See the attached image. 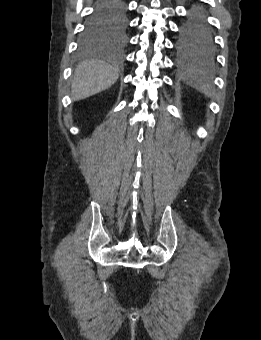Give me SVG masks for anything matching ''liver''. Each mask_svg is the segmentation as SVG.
Returning <instances> with one entry per match:
<instances>
[{"label":"liver","mask_w":261,"mask_h":340,"mask_svg":"<svg viewBox=\"0 0 261 340\" xmlns=\"http://www.w3.org/2000/svg\"><path fill=\"white\" fill-rule=\"evenodd\" d=\"M118 69L93 60L79 64L72 82V97L78 101L111 87L118 79Z\"/></svg>","instance_id":"obj_1"}]
</instances>
